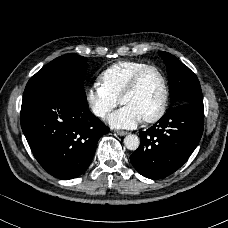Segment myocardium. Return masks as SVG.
Wrapping results in <instances>:
<instances>
[{
  "label": "myocardium",
  "instance_id": "1",
  "mask_svg": "<svg viewBox=\"0 0 228 228\" xmlns=\"http://www.w3.org/2000/svg\"><path fill=\"white\" fill-rule=\"evenodd\" d=\"M150 71H155L161 77V80H162L163 86H164V100H163L162 106L157 111V113L143 119V121L146 123H154V122H157L160 119H162L169 106V102H170L169 83H168V79H167L165 73L163 72V70L160 67H158L156 65H148V66L144 67L143 69L139 70L134 75L131 82L126 87V89L124 90V92L122 93L121 98H120V102L123 104L125 98L138 89L143 77Z\"/></svg>",
  "mask_w": 228,
  "mask_h": 228
}]
</instances>
